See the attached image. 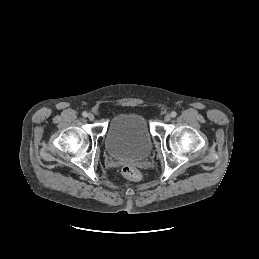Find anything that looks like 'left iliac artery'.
<instances>
[{
    "label": "left iliac artery",
    "instance_id": "44dca946",
    "mask_svg": "<svg viewBox=\"0 0 259 259\" xmlns=\"http://www.w3.org/2000/svg\"><path fill=\"white\" fill-rule=\"evenodd\" d=\"M176 116H177V113H176L175 111H172V112H171V117L174 118V117H176Z\"/></svg>",
    "mask_w": 259,
    "mask_h": 259
}]
</instances>
